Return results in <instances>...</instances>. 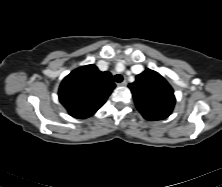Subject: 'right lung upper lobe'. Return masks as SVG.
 I'll use <instances>...</instances> for the list:
<instances>
[{
	"instance_id": "1",
	"label": "right lung upper lobe",
	"mask_w": 222,
	"mask_h": 187,
	"mask_svg": "<svg viewBox=\"0 0 222 187\" xmlns=\"http://www.w3.org/2000/svg\"><path fill=\"white\" fill-rule=\"evenodd\" d=\"M110 72L95 65L79 67L67 75L59 88V100L69 114L84 119L92 116L115 88Z\"/></svg>"
}]
</instances>
